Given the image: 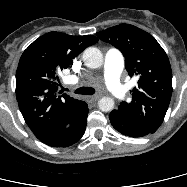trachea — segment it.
<instances>
[{
  "label": "trachea",
  "instance_id": "trachea-1",
  "mask_svg": "<svg viewBox=\"0 0 187 187\" xmlns=\"http://www.w3.org/2000/svg\"><path fill=\"white\" fill-rule=\"evenodd\" d=\"M65 91H69V89H64ZM76 94H82V95H92L95 93V89L92 87H80L75 90Z\"/></svg>",
  "mask_w": 187,
  "mask_h": 187
}]
</instances>
